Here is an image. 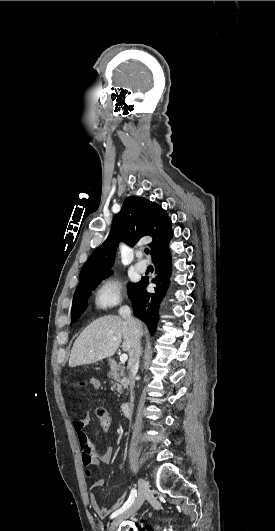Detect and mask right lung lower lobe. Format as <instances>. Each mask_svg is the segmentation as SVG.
<instances>
[{"label": "right lung lower lobe", "mask_w": 275, "mask_h": 531, "mask_svg": "<svg viewBox=\"0 0 275 531\" xmlns=\"http://www.w3.org/2000/svg\"><path fill=\"white\" fill-rule=\"evenodd\" d=\"M170 237L151 254L155 266V278L152 280L156 284L155 292L148 293L146 287L149 284L148 278H143L140 282L131 286L128 291L129 299L132 301L133 311L136 317L141 319L150 332L155 333L158 322V309L163 296L169 285L171 275V255L169 252Z\"/></svg>", "instance_id": "obj_1"}]
</instances>
